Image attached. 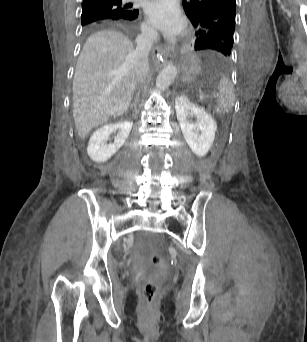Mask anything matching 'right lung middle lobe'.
Wrapping results in <instances>:
<instances>
[{"instance_id":"dd1d6c3e","label":"right lung middle lobe","mask_w":307,"mask_h":342,"mask_svg":"<svg viewBox=\"0 0 307 342\" xmlns=\"http://www.w3.org/2000/svg\"><path fill=\"white\" fill-rule=\"evenodd\" d=\"M115 14L114 11L108 9H87L82 10L81 24L85 25L96 20L111 17Z\"/></svg>"}]
</instances>
